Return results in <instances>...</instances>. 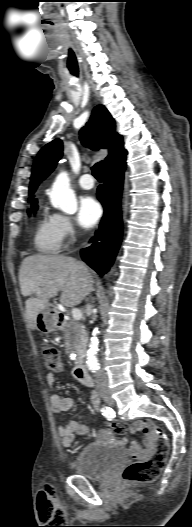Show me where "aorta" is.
<instances>
[{"instance_id":"1","label":"aorta","mask_w":192,"mask_h":527,"mask_svg":"<svg viewBox=\"0 0 192 527\" xmlns=\"http://www.w3.org/2000/svg\"><path fill=\"white\" fill-rule=\"evenodd\" d=\"M51 202L54 207L65 213L74 214L77 211V199L70 188V179L67 172L63 171L57 175L52 186ZM98 333V328H95L90 339L86 359L87 367L92 372H96L99 369V359L97 357L99 341L96 336Z\"/></svg>"}]
</instances>
